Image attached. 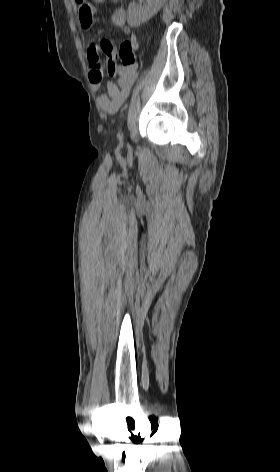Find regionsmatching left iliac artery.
Listing matches in <instances>:
<instances>
[{"mask_svg":"<svg viewBox=\"0 0 280 472\" xmlns=\"http://www.w3.org/2000/svg\"><path fill=\"white\" fill-rule=\"evenodd\" d=\"M118 138H119V140L123 139V133L121 131L118 133Z\"/></svg>","mask_w":280,"mask_h":472,"instance_id":"obj_1","label":"left iliac artery"}]
</instances>
